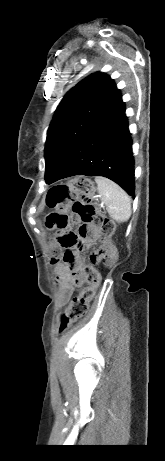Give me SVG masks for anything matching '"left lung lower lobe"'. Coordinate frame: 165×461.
Segmentation results:
<instances>
[{
  "instance_id": "1",
  "label": "left lung lower lobe",
  "mask_w": 165,
  "mask_h": 461,
  "mask_svg": "<svg viewBox=\"0 0 165 461\" xmlns=\"http://www.w3.org/2000/svg\"><path fill=\"white\" fill-rule=\"evenodd\" d=\"M75 175L109 178L134 196L132 139L120 93L81 138L48 184Z\"/></svg>"
}]
</instances>
